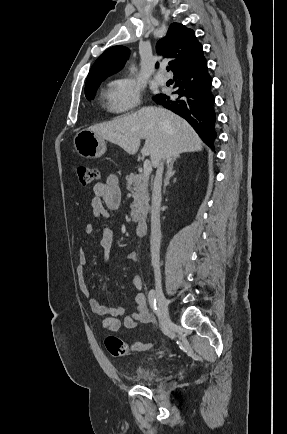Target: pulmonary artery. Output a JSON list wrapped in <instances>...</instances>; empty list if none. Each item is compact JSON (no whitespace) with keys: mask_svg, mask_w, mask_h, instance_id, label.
<instances>
[{"mask_svg":"<svg viewBox=\"0 0 287 434\" xmlns=\"http://www.w3.org/2000/svg\"><path fill=\"white\" fill-rule=\"evenodd\" d=\"M156 81L159 84H165L168 80L164 70H161L159 74H157V76L155 77Z\"/></svg>","mask_w":287,"mask_h":434,"instance_id":"e3ab8cb5","label":"pulmonary artery"}]
</instances>
